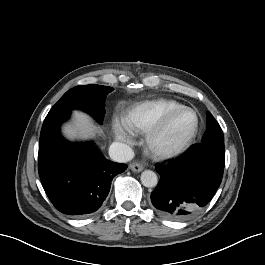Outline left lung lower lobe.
<instances>
[{
	"label": "left lung lower lobe",
	"mask_w": 265,
	"mask_h": 265,
	"mask_svg": "<svg viewBox=\"0 0 265 265\" xmlns=\"http://www.w3.org/2000/svg\"><path fill=\"white\" fill-rule=\"evenodd\" d=\"M225 165L224 143L198 144L178 161L157 167L160 181L151 193L157 212L170 220L197 215L221 184Z\"/></svg>",
	"instance_id": "1"
}]
</instances>
